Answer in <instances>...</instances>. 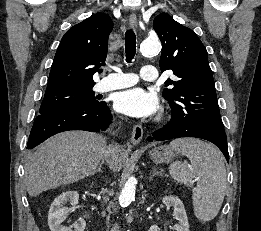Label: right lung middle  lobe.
<instances>
[{
	"instance_id": "right-lung-middle-lobe-1",
	"label": "right lung middle lobe",
	"mask_w": 261,
	"mask_h": 231,
	"mask_svg": "<svg viewBox=\"0 0 261 231\" xmlns=\"http://www.w3.org/2000/svg\"><path fill=\"white\" fill-rule=\"evenodd\" d=\"M94 95L92 87L46 89L39 114H48L73 107L97 106L101 102L97 101V97Z\"/></svg>"
}]
</instances>
